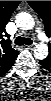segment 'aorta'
Here are the masks:
<instances>
[{
  "label": "aorta",
  "instance_id": "aorta-1",
  "mask_svg": "<svg viewBox=\"0 0 51 101\" xmlns=\"http://www.w3.org/2000/svg\"><path fill=\"white\" fill-rule=\"evenodd\" d=\"M15 22L18 28L23 31L31 30L35 25V21L33 17L29 13H26V12H21L17 14L15 18ZM47 55H48L47 45L43 43L37 44L34 49V57L36 59L42 60V59H45Z\"/></svg>",
  "mask_w": 51,
  "mask_h": 101
}]
</instances>
